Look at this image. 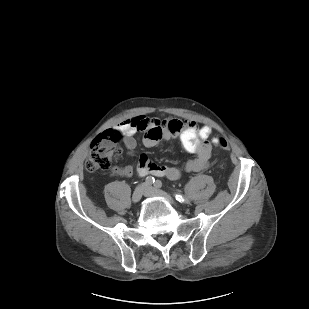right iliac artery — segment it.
Listing matches in <instances>:
<instances>
[{
  "instance_id": "1",
  "label": "right iliac artery",
  "mask_w": 309,
  "mask_h": 309,
  "mask_svg": "<svg viewBox=\"0 0 309 309\" xmlns=\"http://www.w3.org/2000/svg\"><path fill=\"white\" fill-rule=\"evenodd\" d=\"M146 184L151 185L155 182L154 177L148 176L145 180Z\"/></svg>"
}]
</instances>
